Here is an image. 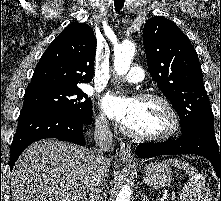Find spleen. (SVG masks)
Instances as JSON below:
<instances>
[{"mask_svg": "<svg viewBox=\"0 0 221 201\" xmlns=\"http://www.w3.org/2000/svg\"><path fill=\"white\" fill-rule=\"evenodd\" d=\"M166 163L184 170L189 175L179 201H212V195L206 179L194 166L182 160L172 158L168 159Z\"/></svg>", "mask_w": 221, "mask_h": 201, "instance_id": "3e777b00", "label": "spleen"}]
</instances>
